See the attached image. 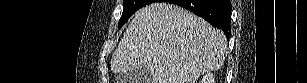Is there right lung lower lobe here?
Masks as SVG:
<instances>
[{"label": "right lung lower lobe", "mask_w": 307, "mask_h": 83, "mask_svg": "<svg viewBox=\"0 0 307 83\" xmlns=\"http://www.w3.org/2000/svg\"><path fill=\"white\" fill-rule=\"evenodd\" d=\"M158 1V0H157ZM181 6L220 28L229 39L231 34V3L229 0H167ZM156 2V0H154Z\"/></svg>", "instance_id": "obj_1"}]
</instances>
